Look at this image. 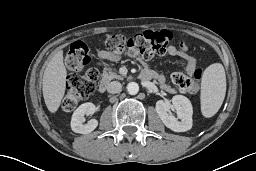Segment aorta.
Instances as JSON below:
<instances>
[{
  "mask_svg": "<svg viewBox=\"0 0 256 171\" xmlns=\"http://www.w3.org/2000/svg\"><path fill=\"white\" fill-rule=\"evenodd\" d=\"M127 91L130 95H136L139 91V85L136 82H130L127 85Z\"/></svg>",
  "mask_w": 256,
  "mask_h": 171,
  "instance_id": "762f6f07",
  "label": "aorta"
}]
</instances>
